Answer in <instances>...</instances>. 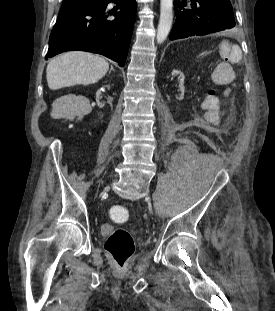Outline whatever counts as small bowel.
<instances>
[{"instance_id": "obj_1", "label": "small bowel", "mask_w": 275, "mask_h": 311, "mask_svg": "<svg viewBox=\"0 0 275 311\" xmlns=\"http://www.w3.org/2000/svg\"><path fill=\"white\" fill-rule=\"evenodd\" d=\"M241 57L242 51L238 45H230L226 40L221 43L207 91H204L202 101L199 102L205 122H212L213 125L220 124L219 117L222 114L223 103L221 97L217 96L216 87H227L234 81L235 75L231 63L240 62Z\"/></svg>"}]
</instances>
